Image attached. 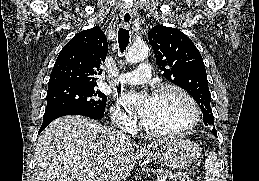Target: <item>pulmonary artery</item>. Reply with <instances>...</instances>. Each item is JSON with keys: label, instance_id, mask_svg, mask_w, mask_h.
Instances as JSON below:
<instances>
[{"label": "pulmonary artery", "instance_id": "obj_1", "mask_svg": "<svg viewBox=\"0 0 259 181\" xmlns=\"http://www.w3.org/2000/svg\"><path fill=\"white\" fill-rule=\"evenodd\" d=\"M151 75V66L148 62H142L137 71L121 73L117 76L116 81L120 84H142L146 82Z\"/></svg>", "mask_w": 259, "mask_h": 181}]
</instances>
